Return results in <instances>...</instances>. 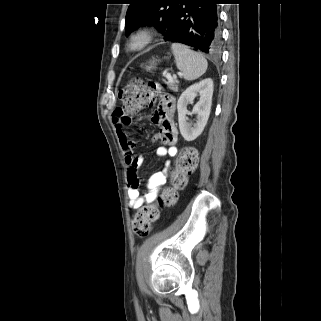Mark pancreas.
<instances>
[{"instance_id":"1","label":"pancreas","mask_w":321,"mask_h":321,"mask_svg":"<svg viewBox=\"0 0 321 321\" xmlns=\"http://www.w3.org/2000/svg\"><path fill=\"white\" fill-rule=\"evenodd\" d=\"M167 86L169 87L170 90H172V91H174V92H178L177 82H175V81H168V82H167Z\"/></svg>"}]
</instances>
